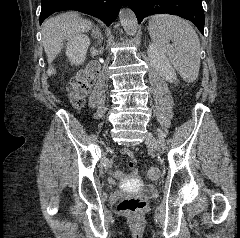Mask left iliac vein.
I'll return each mask as SVG.
<instances>
[{"mask_svg":"<svg viewBox=\"0 0 240 238\" xmlns=\"http://www.w3.org/2000/svg\"><path fill=\"white\" fill-rule=\"evenodd\" d=\"M161 142V141H160ZM160 142L155 138V136L149 132L147 134V137H146V140H145V143L151 147V148H154L156 150H160V149H164L165 148V145L164 146H161L160 145Z\"/></svg>","mask_w":240,"mask_h":238,"instance_id":"1","label":"left iliac vein"}]
</instances>
